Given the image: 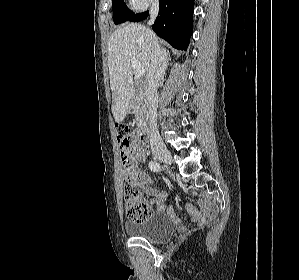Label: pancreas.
<instances>
[{
    "instance_id": "1",
    "label": "pancreas",
    "mask_w": 299,
    "mask_h": 280,
    "mask_svg": "<svg viewBox=\"0 0 299 280\" xmlns=\"http://www.w3.org/2000/svg\"><path fill=\"white\" fill-rule=\"evenodd\" d=\"M133 104H134L136 124L140 126L144 122L145 113H146L143 97L140 95L134 97Z\"/></svg>"
}]
</instances>
